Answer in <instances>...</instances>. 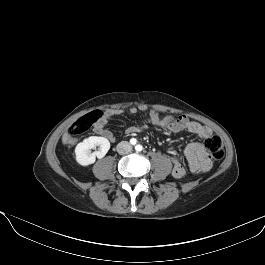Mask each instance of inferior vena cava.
<instances>
[{"label":"inferior vena cava","mask_w":265,"mask_h":265,"mask_svg":"<svg viewBox=\"0 0 265 265\" xmlns=\"http://www.w3.org/2000/svg\"><path fill=\"white\" fill-rule=\"evenodd\" d=\"M132 150V146L129 142L127 141H122L120 142L118 145H117V152L120 154V155H125V154H128L130 153Z\"/></svg>","instance_id":"602c4592"}]
</instances>
